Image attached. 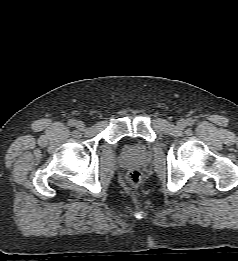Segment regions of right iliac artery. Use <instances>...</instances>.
<instances>
[{"label":"right iliac artery","instance_id":"obj_1","mask_svg":"<svg viewBox=\"0 0 238 261\" xmlns=\"http://www.w3.org/2000/svg\"><path fill=\"white\" fill-rule=\"evenodd\" d=\"M68 124H69L70 126H74V125H75V121L71 119V120L68 121Z\"/></svg>","mask_w":238,"mask_h":261}]
</instances>
